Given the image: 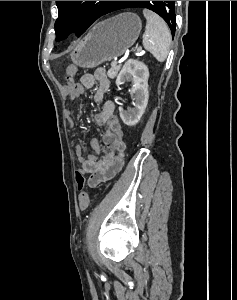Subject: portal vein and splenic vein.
Listing matches in <instances>:
<instances>
[{"label": "portal vein and splenic vein", "instance_id": "portal-vein-and-splenic-vein-1", "mask_svg": "<svg viewBox=\"0 0 237 300\" xmlns=\"http://www.w3.org/2000/svg\"><path fill=\"white\" fill-rule=\"evenodd\" d=\"M111 68H114V67H116V66H118V62H117V60L116 61H111Z\"/></svg>", "mask_w": 237, "mask_h": 300}]
</instances>
